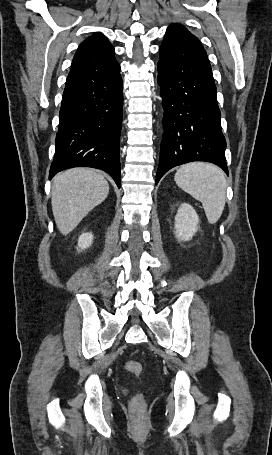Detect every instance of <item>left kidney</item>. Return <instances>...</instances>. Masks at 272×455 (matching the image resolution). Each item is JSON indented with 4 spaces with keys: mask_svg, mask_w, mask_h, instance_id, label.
Masks as SVG:
<instances>
[{
    "mask_svg": "<svg viewBox=\"0 0 272 455\" xmlns=\"http://www.w3.org/2000/svg\"><path fill=\"white\" fill-rule=\"evenodd\" d=\"M199 217L195 209L183 203L175 217V236L178 240L189 241L198 230Z\"/></svg>",
    "mask_w": 272,
    "mask_h": 455,
    "instance_id": "obj_1",
    "label": "left kidney"
}]
</instances>
